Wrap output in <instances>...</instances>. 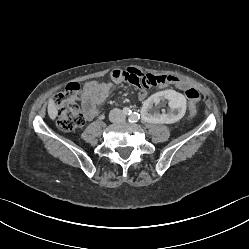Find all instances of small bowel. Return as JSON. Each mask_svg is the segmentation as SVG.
I'll return each mask as SVG.
<instances>
[{"instance_id": "small-bowel-1", "label": "small bowel", "mask_w": 249, "mask_h": 249, "mask_svg": "<svg viewBox=\"0 0 249 249\" xmlns=\"http://www.w3.org/2000/svg\"><path fill=\"white\" fill-rule=\"evenodd\" d=\"M124 81L132 83L139 93V98L145 99L146 89L142 86V71L137 67H127L126 70L116 69L112 71L108 81H88L84 84L81 105L85 118L87 120L95 118L99 113L98 106L106 101L114 85Z\"/></svg>"}]
</instances>
